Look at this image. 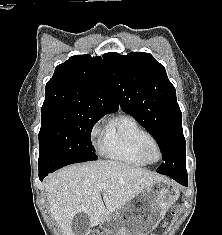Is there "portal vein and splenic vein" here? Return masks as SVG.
Instances as JSON below:
<instances>
[{
	"label": "portal vein and splenic vein",
	"mask_w": 222,
	"mask_h": 235,
	"mask_svg": "<svg viewBox=\"0 0 222 235\" xmlns=\"http://www.w3.org/2000/svg\"><path fill=\"white\" fill-rule=\"evenodd\" d=\"M106 184H104V183H102L101 185H100V188H106Z\"/></svg>",
	"instance_id": "18ae733b"
}]
</instances>
